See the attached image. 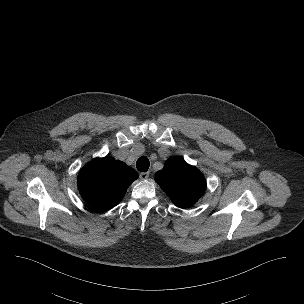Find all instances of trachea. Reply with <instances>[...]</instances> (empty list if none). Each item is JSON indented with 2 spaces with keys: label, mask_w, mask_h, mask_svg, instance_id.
I'll return each instance as SVG.
<instances>
[{
  "label": "trachea",
  "mask_w": 304,
  "mask_h": 304,
  "mask_svg": "<svg viewBox=\"0 0 304 304\" xmlns=\"http://www.w3.org/2000/svg\"><path fill=\"white\" fill-rule=\"evenodd\" d=\"M149 165V160L145 156L140 157L136 162L137 169L142 172H146L149 169Z\"/></svg>",
  "instance_id": "obj_1"
}]
</instances>
